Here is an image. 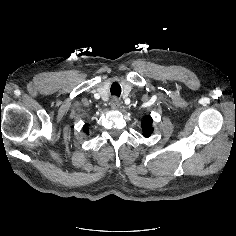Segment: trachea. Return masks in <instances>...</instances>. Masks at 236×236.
Masks as SVG:
<instances>
[{
	"label": "trachea",
	"instance_id": "1",
	"mask_svg": "<svg viewBox=\"0 0 236 236\" xmlns=\"http://www.w3.org/2000/svg\"><path fill=\"white\" fill-rule=\"evenodd\" d=\"M110 92L112 95L119 97L121 94L120 84L118 82H113V84L111 85V88H110Z\"/></svg>",
	"mask_w": 236,
	"mask_h": 236
}]
</instances>
